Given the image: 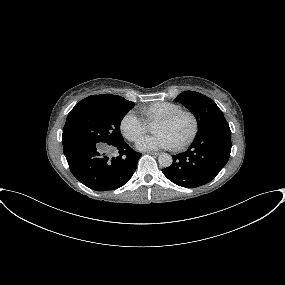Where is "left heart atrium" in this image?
I'll return each mask as SVG.
<instances>
[{"label": "left heart atrium", "mask_w": 285, "mask_h": 285, "mask_svg": "<svg viewBox=\"0 0 285 285\" xmlns=\"http://www.w3.org/2000/svg\"><path fill=\"white\" fill-rule=\"evenodd\" d=\"M174 144L164 133H155L138 139L136 147L142 151L172 148Z\"/></svg>", "instance_id": "1"}]
</instances>
